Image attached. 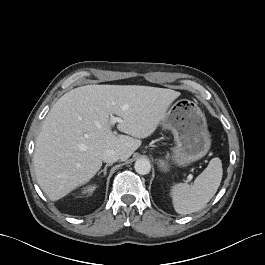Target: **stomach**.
I'll list each match as a JSON object with an SVG mask.
<instances>
[{"label": "stomach", "instance_id": "0dacf381", "mask_svg": "<svg viewBox=\"0 0 265 265\" xmlns=\"http://www.w3.org/2000/svg\"><path fill=\"white\" fill-rule=\"evenodd\" d=\"M164 129L172 132L175 146L172 148L171 159L179 166H187L204 157L210 149L211 139L206 118L197 103L180 99L166 111L161 121ZM163 170L168 169V163L159 161Z\"/></svg>", "mask_w": 265, "mask_h": 265}]
</instances>
